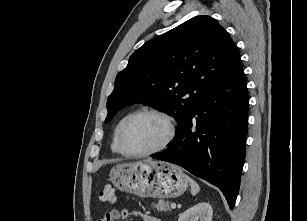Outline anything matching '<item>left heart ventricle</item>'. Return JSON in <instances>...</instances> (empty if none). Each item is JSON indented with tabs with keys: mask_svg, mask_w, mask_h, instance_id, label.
<instances>
[{
	"mask_svg": "<svg viewBox=\"0 0 307 221\" xmlns=\"http://www.w3.org/2000/svg\"><path fill=\"white\" fill-rule=\"evenodd\" d=\"M165 122L154 115L145 114L135 118L124 135L127 151L140 153L157 147L166 137Z\"/></svg>",
	"mask_w": 307,
	"mask_h": 221,
	"instance_id": "b2bd125f",
	"label": "left heart ventricle"
}]
</instances>
